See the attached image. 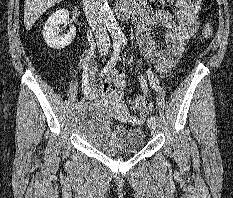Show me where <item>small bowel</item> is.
<instances>
[{
  "label": "small bowel",
  "mask_w": 233,
  "mask_h": 198,
  "mask_svg": "<svg viewBox=\"0 0 233 198\" xmlns=\"http://www.w3.org/2000/svg\"><path fill=\"white\" fill-rule=\"evenodd\" d=\"M168 1L175 7L174 12L154 9L144 3L136 12L135 35L137 44L145 60L153 64L160 74L168 73L177 65L185 44L197 31L199 25L198 10L191 7L189 0ZM152 26L166 28V48L156 47L150 35V27ZM104 75V78H98L94 65H88L86 78L82 85L85 98L89 101L100 102L115 114L130 121H139L128 114L123 102L127 86L126 73L119 72L113 67Z\"/></svg>",
  "instance_id": "small-bowel-1"
}]
</instances>
